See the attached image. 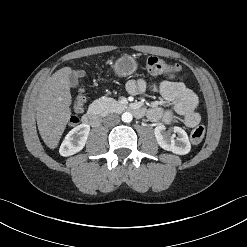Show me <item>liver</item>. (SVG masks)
<instances>
[{"label": "liver", "instance_id": "6515ba94", "mask_svg": "<svg viewBox=\"0 0 247 247\" xmlns=\"http://www.w3.org/2000/svg\"><path fill=\"white\" fill-rule=\"evenodd\" d=\"M73 70L64 67L47 78L43 84L37 105V126L41 138L50 148L57 147L71 116L70 74Z\"/></svg>", "mask_w": 247, "mask_h": 247}]
</instances>
